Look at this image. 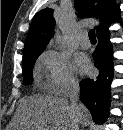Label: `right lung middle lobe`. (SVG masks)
I'll use <instances>...</instances> for the list:
<instances>
[{
	"instance_id": "right-lung-middle-lobe-1",
	"label": "right lung middle lobe",
	"mask_w": 123,
	"mask_h": 130,
	"mask_svg": "<svg viewBox=\"0 0 123 130\" xmlns=\"http://www.w3.org/2000/svg\"><path fill=\"white\" fill-rule=\"evenodd\" d=\"M39 55L40 53L31 54V55L23 57V83L24 84L32 83V80H33L32 68Z\"/></svg>"
}]
</instances>
